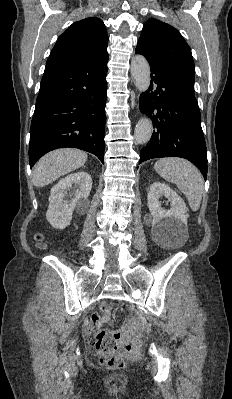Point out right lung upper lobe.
<instances>
[{
    "mask_svg": "<svg viewBox=\"0 0 232 399\" xmlns=\"http://www.w3.org/2000/svg\"><path fill=\"white\" fill-rule=\"evenodd\" d=\"M108 36L104 23L89 17L73 23L59 36L48 64H76L108 57Z\"/></svg>",
    "mask_w": 232,
    "mask_h": 399,
    "instance_id": "cb5924a9",
    "label": "right lung upper lobe"
}]
</instances>
